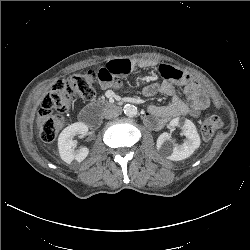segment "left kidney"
Returning a JSON list of instances; mask_svg holds the SVG:
<instances>
[{
	"label": "left kidney",
	"instance_id": "obj_1",
	"mask_svg": "<svg viewBox=\"0 0 250 250\" xmlns=\"http://www.w3.org/2000/svg\"><path fill=\"white\" fill-rule=\"evenodd\" d=\"M170 128L180 127L186 137L181 145L175 144L168 133H162L156 142V148L159 153L171 161H180L190 157L200 146V136L192 121L180 118H174L169 123Z\"/></svg>",
	"mask_w": 250,
	"mask_h": 250
}]
</instances>
